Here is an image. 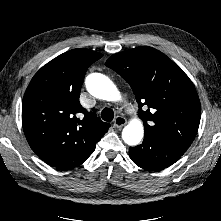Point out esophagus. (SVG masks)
<instances>
[{"instance_id": "obj_1", "label": "esophagus", "mask_w": 221, "mask_h": 221, "mask_svg": "<svg viewBox=\"0 0 221 221\" xmlns=\"http://www.w3.org/2000/svg\"><path fill=\"white\" fill-rule=\"evenodd\" d=\"M127 123L126 119L122 116H117L114 120L115 128H122Z\"/></svg>"}]
</instances>
